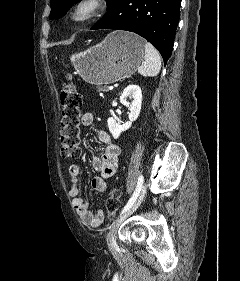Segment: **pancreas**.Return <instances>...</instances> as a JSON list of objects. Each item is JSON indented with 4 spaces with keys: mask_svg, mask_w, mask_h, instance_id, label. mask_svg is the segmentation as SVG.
I'll use <instances>...</instances> for the list:
<instances>
[{
    "mask_svg": "<svg viewBox=\"0 0 240 281\" xmlns=\"http://www.w3.org/2000/svg\"><path fill=\"white\" fill-rule=\"evenodd\" d=\"M98 91H100V92H107L108 91V87L107 86L98 87Z\"/></svg>",
    "mask_w": 240,
    "mask_h": 281,
    "instance_id": "1",
    "label": "pancreas"
}]
</instances>
